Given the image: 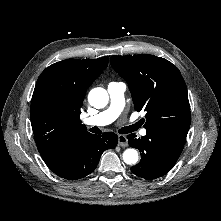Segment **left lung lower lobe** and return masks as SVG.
I'll use <instances>...</instances> for the list:
<instances>
[{
	"label": "left lung lower lobe",
	"instance_id": "left-lung-lower-lobe-1",
	"mask_svg": "<svg viewBox=\"0 0 221 221\" xmlns=\"http://www.w3.org/2000/svg\"><path fill=\"white\" fill-rule=\"evenodd\" d=\"M186 135L157 129L147 130V134L141 138H136L134 133L129 134V145L141 152L140 162L133 166L131 171L147 180L164 176L179 158Z\"/></svg>",
	"mask_w": 221,
	"mask_h": 221
}]
</instances>
